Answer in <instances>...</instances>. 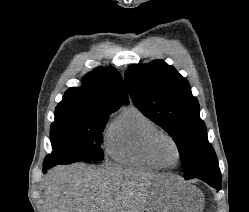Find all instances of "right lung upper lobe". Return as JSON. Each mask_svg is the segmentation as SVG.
Listing matches in <instances>:
<instances>
[{
  "instance_id": "1",
  "label": "right lung upper lobe",
  "mask_w": 249,
  "mask_h": 212,
  "mask_svg": "<svg viewBox=\"0 0 249 212\" xmlns=\"http://www.w3.org/2000/svg\"><path fill=\"white\" fill-rule=\"evenodd\" d=\"M83 83L81 87L69 88L61 103L117 110L129 103L122 77L113 67L96 68Z\"/></svg>"
}]
</instances>
